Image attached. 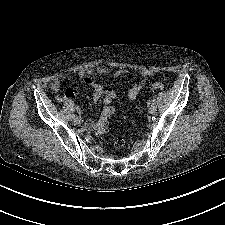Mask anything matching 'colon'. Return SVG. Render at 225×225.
Returning <instances> with one entry per match:
<instances>
[{"mask_svg": "<svg viewBox=\"0 0 225 225\" xmlns=\"http://www.w3.org/2000/svg\"><path fill=\"white\" fill-rule=\"evenodd\" d=\"M153 91H161L164 85L160 82H156L152 85ZM115 109L110 105V102H106V106L103 109L100 119L95 123L93 131L98 137H104L108 132V124L110 117L114 114ZM112 148L116 151H121L124 148V141L115 137L111 141Z\"/></svg>", "mask_w": 225, "mask_h": 225, "instance_id": "5ec220e1", "label": "colon"}]
</instances>
